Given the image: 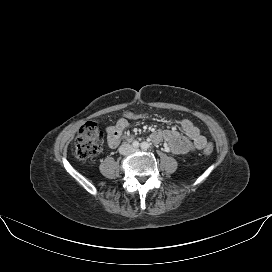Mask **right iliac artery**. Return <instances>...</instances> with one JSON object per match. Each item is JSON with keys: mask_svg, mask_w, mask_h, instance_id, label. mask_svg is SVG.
Returning <instances> with one entry per match:
<instances>
[{"mask_svg": "<svg viewBox=\"0 0 272 272\" xmlns=\"http://www.w3.org/2000/svg\"><path fill=\"white\" fill-rule=\"evenodd\" d=\"M133 147H135V148L139 147V142L138 141H134L133 142Z\"/></svg>", "mask_w": 272, "mask_h": 272, "instance_id": "82829eb1", "label": "right iliac artery"}]
</instances>
